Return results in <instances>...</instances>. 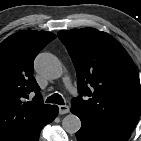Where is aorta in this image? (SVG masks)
Masks as SVG:
<instances>
[{
  "label": "aorta",
  "instance_id": "1",
  "mask_svg": "<svg viewBox=\"0 0 141 141\" xmlns=\"http://www.w3.org/2000/svg\"><path fill=\"white\" fill-rule=\"evenodd\" d=\"M36 71L47 79H58L63 74V67L59 59L50 53H40L34 62ZM62 126L68 133H76L81 128V120L74 114L65 116L62 120Z\"/></svg>",
  "mask_w": 141,
  "mask_h": 141
}]
</instances>
